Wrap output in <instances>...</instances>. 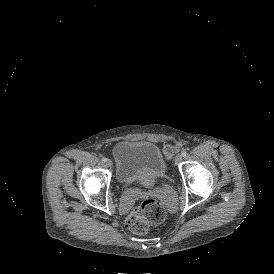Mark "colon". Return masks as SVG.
<instances>
[{
	"instance_id": "5ec220e1",
	"label": "colon",
	"mask_w": 274,
	"mask_h": 274,
	"mask_svg": "<svg viewBox=\"0 0 274 274\" xmlns=\"http://www.w3.org/2000/svg\"><path fill=\"white\" fill-rule=\"evenodd\" d=\"M177 146L181 150H186L190 146V141L186 137H181L177 141ZM162 151L169 158H174L178 154V149L172 142H166L162 146ZM167 218L166 207L154 199H142L135 210L127 216L125 220L126 228L134 234H146L151 225H159Z\"/></svg>"
}]
</instances>
